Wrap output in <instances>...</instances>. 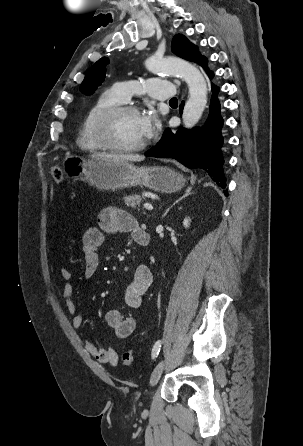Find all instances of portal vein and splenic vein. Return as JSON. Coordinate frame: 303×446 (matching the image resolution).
<instances>
[{"label": "portal vein and splenic vein", "mask_w": 303, "mask_h": 446, "mask_svg": "<svg viewBox=\"0 0 303 446\" xmlns=\"http://www.w3.org/2000/svg\"><path fill=\"white\" fill-rule=\"evenodd\" d=\"M143 206L146 210H153V206L150 203H145Z\"/></svg>", "instance_id": "1"}]
</instances>
